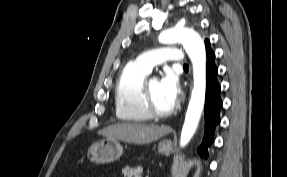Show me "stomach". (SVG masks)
I'll use <instances>...</instances> for the list:
<instances>
[{"instance_id":"0dacf381","label":"stomach","mask_w":287,"mask_h":177,"mask_svg":"<svg viewBox=\"0 0 287 177\" xmlns=\"http://www.w3.org/2000/svg\"><path fill=\"white\" fill-rule=\"evenodd\" d=\"M158 151L163 155H169L172 152L171 141H160ZM122 153L123 147L118 140L106 138L92 144L88 149L87 155L90 161L94 163H110L119 159Z\"/></svg>"}]
</instances>
